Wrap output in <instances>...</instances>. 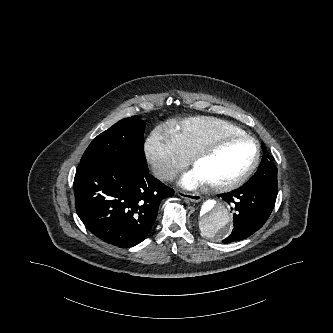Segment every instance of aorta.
<instances>
[{"mask_svg":"<svg viewBox=\"0 0 333 333\" xmlns=\"http://www.w3.org/2000/svg\"><path fill=\"white\" fill-rule=\"evenodd\" d=\"M197 223L204 235L223 237L231 228L232 220L229 207L220 198L203 202L197 213Z\"/></svg>","mask_w":333,"mask_h":333,"instance_id":"1","label":"aorta"}]
</instances>
